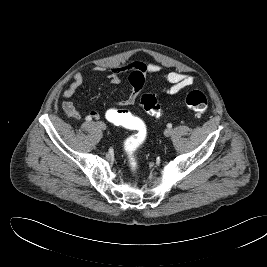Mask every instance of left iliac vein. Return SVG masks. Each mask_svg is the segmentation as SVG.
Here are the masks:
<instances>
[{
  "instance_id": "4c4485c4",
  "label": "left iliac vein",
  "mask_w": 267,
  "mask_h": 267,
  "mask_svg": "<svg viewBox=\"0 0 267 267\" xmlns=\"http://www.w3.org/2000/svg\"><path fill=\"white\" fill-rule=\"evenodd\" d=\"M172 133H173V130L170 129V128H168V129H166V130L164 131V135L167 136V137L171 136Z\"/></svg>"
}]
</instances>
